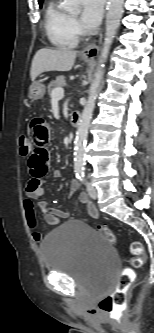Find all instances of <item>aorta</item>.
Instances as JSON below:
<instances>
[{
    "label": "aorta",
    "instance_id": "aorta-1",
    "mask_svg": "<svg viewBox=\"0 0 154 333\" xmlns=\"http://www.w3.org/2000/svg\"><path fill=\"white\" fill-rule=\"evenodd\" d=\"M109 7L106 16L105 38L99 57V66L94 76L93 83L88 92V99L80 116L79 125L75 138L74 167L83 169L85 166L86 143L90 121L95 108L97 90L103 76L104 62L107 60L110 46L120 25L123 14L124 0H109ZM63 7L68 12L80 11V0H64Z\"/></svg>",
    "mask_w": 154,
    "mask_h": 333
}]
</instances>
